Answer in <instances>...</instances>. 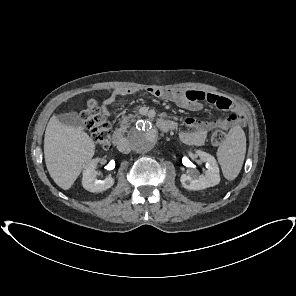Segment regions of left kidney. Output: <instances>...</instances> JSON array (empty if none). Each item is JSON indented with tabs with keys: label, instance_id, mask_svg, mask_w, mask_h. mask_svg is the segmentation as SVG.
Returning a JSON list of instances; mask_svg holds the SVG:
<instances>
[{
	"label": "left kidney",
	"instance_id": "5707ae66",
	"mask_svg": "<svg viewBox=\"0 0 296 296\" xmlns=\"http://www.w3.org/2000/svg\"><path fill=\"white\" fill-rule=\"evenodd\" d=\"M196 154L206 163V171L204 175L182 174L180 178L182 186L188 190L196 191L219 184L220 174L216 159L204 151L198 150Z\"/></svg>",
	"mask_w": 296,
	"mask_h": 296
}]
</instances>
